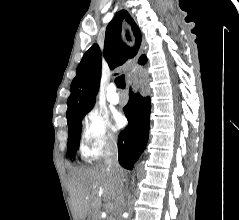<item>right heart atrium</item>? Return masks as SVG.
<instances>
[{"label":"right heart atrium","instance_id":"obj_1","mask_svg":"<svg viewBox=\"0 0 239 220\" xmlns=\"http://www.w3.org/2000/svg\"><path fill=\"white\" fill-rule=\"evenodd\" d=\"M81 148L89 159H97L116 145L108 116L98 108L89 109L81 121Z\"/></svg>","mask_w":239,"mask_h":220}]
</instances>
